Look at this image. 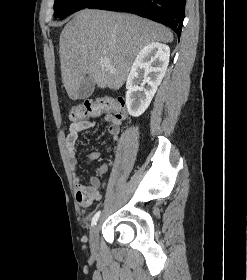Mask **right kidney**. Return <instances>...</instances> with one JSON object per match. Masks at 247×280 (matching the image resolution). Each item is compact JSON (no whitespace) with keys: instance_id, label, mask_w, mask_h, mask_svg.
I'll list each match as a JSON object with an SVG mask.
<instances>
[{"instance_id":"ca27d5eb","label":"right kidney","mask_w":247,"mask_h":280,"mask_svg":"<svg viewBox=\"0 0 247 280\" xmlns=\"http://www.w3.org/2000/svg\"><path fill=\"white\" fill-rule=\"evenodd\" d=\"M169 57V46L159 42L150 43L139 51L126 82V105L130 115L138 117L148 108L166 73Z\"/></svg>"}]
</instances>
